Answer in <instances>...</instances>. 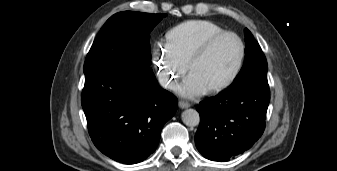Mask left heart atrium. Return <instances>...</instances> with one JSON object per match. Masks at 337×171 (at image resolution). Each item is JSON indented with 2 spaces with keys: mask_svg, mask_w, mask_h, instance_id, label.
<instances>
[{
  "mask_svg": "<svg viewBox=\"0 0 337 171\" xmlns=\"http://www.w3.org/2000/svg\"><path fill=\"white\" fill-rule=\"evenodd\" d=\"M207 90L208 87L192 73L178 86V91L188 97L200 96Z\"/></svg>",
  "mask_w": 337,
  "mask_h": 171,
  "instance_id": "obj_1",
  "label": "left heart atrium"
}]
</instances>
